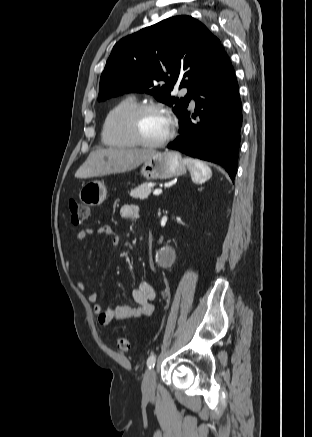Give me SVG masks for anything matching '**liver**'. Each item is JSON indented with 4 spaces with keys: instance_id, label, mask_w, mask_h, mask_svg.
I'll return each mask as SVG.
<instances>
[{
    "instance_id": "6515ba94",
    "label": "liver",
    "mask_w": 312,
    "mask_h": 437,
    "mask_svg": "<svg viewBox=\"0 0 312 437\" xmlns=\"http://www.w3.org/2000/svg\"><path fill=\"white\" fill-rule=\"evenodd\" d=\"M154 150L106 148L92 151L75 173L76 178H92L135 169L147 160Z\"/></svg>"
}]
</instances>
